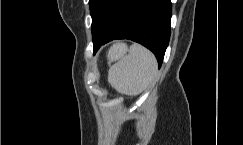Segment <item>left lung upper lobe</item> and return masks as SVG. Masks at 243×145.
<instances>
[{
    "instance_id": "obj_1",
    "label": "left lung upper lobe",
    "mask_w": 243,
    "mask_h": 145,
    "mask_svg": "<svg viewBox=\"0 0 243 145\" xmlns=\"http://www.w3.org/2000/svg\"><path fill=\"white\" fill-rule=\"evenodd\" d=\"M128 0H89L92 29L106 32Z\"/></svg>"
}]
</instances>
